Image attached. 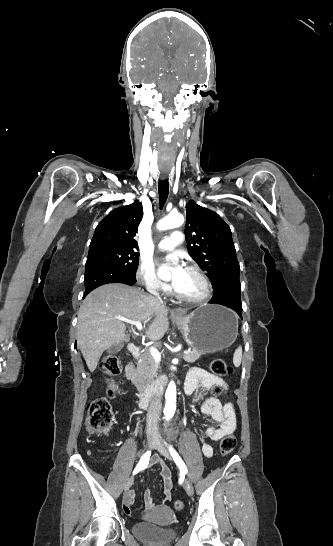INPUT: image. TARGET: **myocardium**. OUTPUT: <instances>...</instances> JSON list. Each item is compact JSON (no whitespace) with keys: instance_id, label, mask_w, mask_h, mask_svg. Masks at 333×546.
I'll return each instance as SVG.
<instances>
[{"instance_id":"f54148a6","label":"myocardium","mask_w":333,"mask_h":546,"mask_svg":"<svg viewBox=\"0 0 333 546\" xmlns=\"http://www.w3.org/2000/svg\"><path fill=\"white\" fill-rule=\"evenodd\" d=\"M187 270L195 273L199 278L200 280L202 281L203 285H204V292L202 295L200 296H197V297H187V296H184L182 294H180L177 290L175 291V296L184 301V302H188V303H193V304H199V303H202V302H205L206 300H208L212 294V291H213V288H212V285H211V282L209 280V278L207 277V275L203 272V270L196 266V265H190L187 267Z\"/></svg>"}]
</instances>
